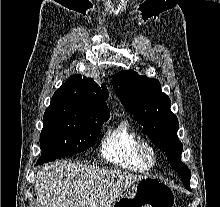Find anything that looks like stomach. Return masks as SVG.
I'll use <instances>...</instances> for the list:
<instances>
[{"instance_id":"stomach-1","label":"stomach","mask_w":220,"mask_h":207,"mask_svg":"<svg viewBox=\"0 0 220 207\" xmlns=\"http://www.w3.org/2000/svg\"><path fill=\"white\" fill-rule=\"evenodd\" d=\"M175 194L165 182L145 176L120 196L111 207H174Z\"/></svg>"}]
</instances>
